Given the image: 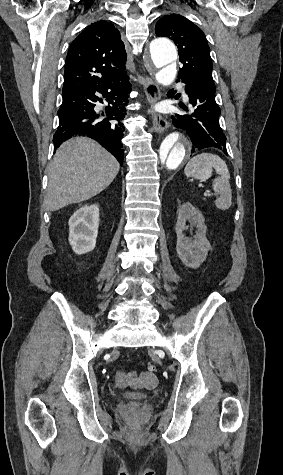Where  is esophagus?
I'll use <instances>...</instances> for the list:
<instances>
[{"label":"esophagus","instance_id":"esophagus-1","mask_svg":"<svg viewBox=\"0 0 283 475\" xmlns=\"http://www.w3.org/2000/svg\"><path fill=\"white\" fill-rule=\"evenodd\" d=\"M144 92L148 102L154 106V104L161 98V91L158 84L149 77L144 80ZM150 113L153 115V127L156 133H163L168 128V122L160 113L151 109Z\"/></svg>","mask_w":283,"mask_h":475}]
</instances>
